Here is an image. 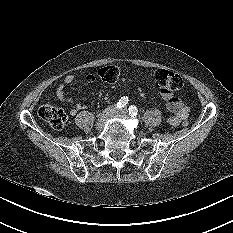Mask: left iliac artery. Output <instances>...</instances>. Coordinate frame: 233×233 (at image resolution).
Returning <instances> with one entry per match:
<instances>
[{
	"mask_svg": "<svg viewBox=\"0 0 233 233\" xmlns=\"http://www.w3.org/2000/svg\"><path fill=\"white\" fill-rule=\"evenodd\" d=\"M128 110H129V115H130L131 117L135 118V117L137 116V114H138V109H137L136 106L131 105V106L129 107Z\"/></svg>",
	"mask_w": 233,
	"mask_h": 233,
	"instance_id": "left-iliac-artery-1",
	"label": "left iliac artery"
}]
</instances>
